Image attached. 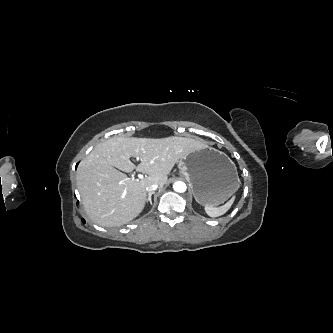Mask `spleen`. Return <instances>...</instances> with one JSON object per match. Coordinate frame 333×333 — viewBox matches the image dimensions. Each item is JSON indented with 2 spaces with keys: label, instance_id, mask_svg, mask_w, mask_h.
I'll list each match as a JSON object with an SVG mask.
<instances>
[{
  "label": "spleen",
  "instance_id": "1",
  "mask_svg": "<svg viewBox=\"0 0 333 333\" xmlns=\"http://www.w3.org/2000/svg\"><path fill=\"white\" fill-rule=\"evenodd\" d=\"M240 180L238 179V187H239ZM235 200V197H232L227 203L220 207H214L210 205L205 206V212L210 216V217H218L223 214H225L232 206L233 202Z\"/></svg>",
  "mask_w": 333,
  "mask_h": 333
}]
</instances>
